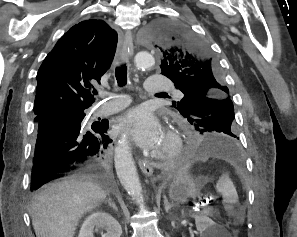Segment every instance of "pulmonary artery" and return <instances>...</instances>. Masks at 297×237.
<instances>
[{"mask_svg": "<svg viewBox=\"0 0 297 237\" xmlns=\"http://www.w3.org/2000/svg\"><path fill=\"white\" fill-rule=\"evenodd\" d=\"M171 88L170 83L162 76L149 77L144 85L147 92H159ZM130 104L128 97L120 96L94 107L96 115H109L122 110Z\"/></svg>", "mask_w": 297, "mask_h": 237, "instance_id": "e3ab8cb5", "label": "pulmonary artery"}]
</instances>
